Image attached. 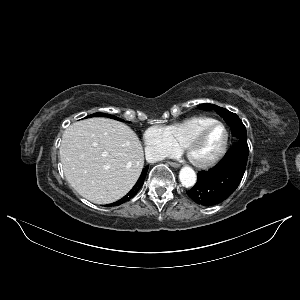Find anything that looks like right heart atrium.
Returning <instances> with one entry per match:
<instances>
[{"label":"right heart atrium","instance_id":"obj_1","mask_svg":"<svg viewBox=\"0 0 300 300\" xmlns=\"http://www.w3.org/2000/svg\"><path fill=\"white\" fill-rule=\"evenodd\" d=\"M143 141L146 156L150 161L174 157L179 152L159 126L149 127L143 134Z\"/></svg>","mask_w":300,"mask_h":300}]
</instances>
